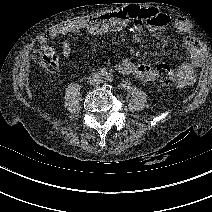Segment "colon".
<instances>
[{
  "label": "colon",
  "instance_id": "5ec220e1",
  "mask_svg": "<svg viewBox=\"0 0 212 212\" xmlns=\"http://www.w3.org/2000/svg\"><path fill=\"white\" fill-rule=\"evenodd\" d=\"M34 60L47 71L55 72L59 65L58 54L49 48L37 49L33 53ZM175 82L174 69L166 63H160L155 71V83L159 86H170Z\"/></svg>",
  "mask_w": 212,
  "mask_h": 212
}]
</instances>
